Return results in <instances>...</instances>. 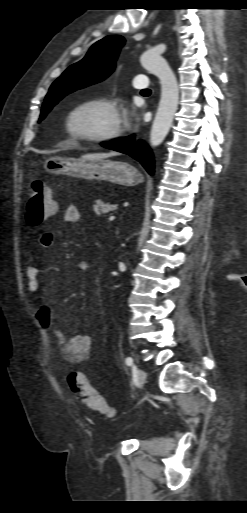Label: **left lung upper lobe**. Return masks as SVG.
Wrapping results in <instances>:
<instances>
[{"mask_svg": "<svg viewBox=\"0 0 247 513\" xmlns=\"http://www.w3.org/2000/svg\"><path fill=\"white\" fill-rule=\"evenodd\" d=\"M125 39L120 35H109L96 42L79 62L71 65L51 85L39 120H43L49 111L67 94L95 84L109 76Z\"/></svg>", "mask_w": 247, "mask_h": 513, "instance_id": "5c2ea615", "label": "left lung upper lobe"}]
</instances>
